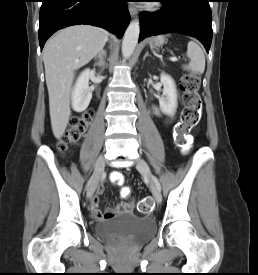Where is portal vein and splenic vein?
<instances>
[{"label":"portal vein and splenic vein","mask_w":258,"mask_h":275,"mask_svg":"<svg viewBox=\"0 0 258 275\" xmlns=\"http://www.w3.org/2000/svg\"><path fill=\"white\" fill-rule=\"evenodd\" d=\"M170 60H171V61H177V57H175V56L170 57Z\"/></svg>","instance_id":"portal-vein-and-splenic-vein-1"}]
</instances>
